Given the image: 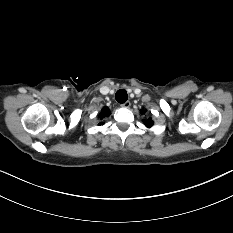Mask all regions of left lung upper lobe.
I'll return each instance as SVG.
<instances>
[{"label": "left lung upper lobe", "mask_w": 233, "mask_h": 233, "mask_svg": "<svg viewBox=\"0 0 233 233\" xmlns=\"http://www.w3.org/2000/svg\"><path fill=\"white\" fill-rule=\"evenodd\" d=\"M141 113H145L144 110H141ZM146 127H151L153 125V121L149 118L143 121Z\"/></svg>", "instance_id": "left-lung-upper-lobe-1"}]
</instances>
